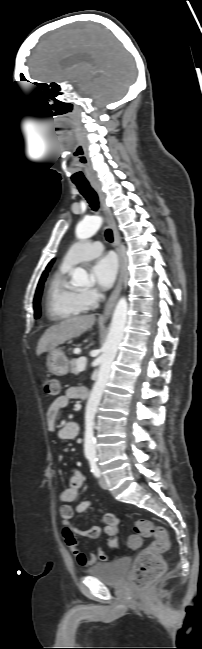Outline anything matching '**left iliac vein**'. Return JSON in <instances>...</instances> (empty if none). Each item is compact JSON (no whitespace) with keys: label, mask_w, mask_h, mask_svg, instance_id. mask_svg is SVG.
Here are the masks:
<instances>
[{"label":"left iliac vein","mask_w":202,"mask_h":649,"mask_svg":"<svg viewBox=\"0 0 202 649\" xmlns=\"http://www.w3.org/2000/svg\"><path fill=\"white\" fill-rule=\"evenodd\" d=\"M99 485L101 486V488H103L105 490L108 489V484H107V481H106V479L104 477L99 478Z\"/></svg>","instance_id":"left-iliac-vein-1"}]
</instances>
